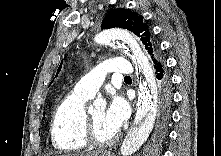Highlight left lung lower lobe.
Listing matches in <instances>:
<instances>
[{
	"mask_svg": "<svg viewBox=\"0 0 221 156\" xmlns=\"http://www.w3.org/2000/svg\"><path fill=\"white\" fill-rule=\"evenodd\" d=\"M156 77V124L154 140H161L167 129L171 114V81L165 62L154 65Z\"/></svg>",
	"mask_w": 221,
	"mask_h": 156,
	"instance_id": "left-lung-lower-lobe-1",
	"label": "left lung lower lobe"
}]
</instances>
